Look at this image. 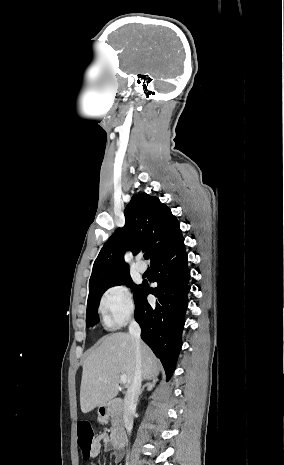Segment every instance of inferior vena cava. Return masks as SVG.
<instances>
[{
    "instance_id": "inferior-vena-cava-1",
    "label": "inferior vena cava",
    "mask_w": 284,
    "mask_h": 465,
    "mask_svg": "<svg viewBox=\"0 0 284 465\" xmlns=\"http://www.w3.org/2000/svg\"><path fill=\"white\" fill-rule=\"evenodd\" d=\"M129 333L131 337H134L136 341L135 347V359H136V367H135V377L133 379V383L131 387H129L125 397H124V407H123V419H124V427L127 433H131L133 429V415L136 411L138 397L141 391V353H140V333L141 329L136 323V321H131L129 325ZM128 465V463H126Z\"/></svg>"
}]
</instances>
